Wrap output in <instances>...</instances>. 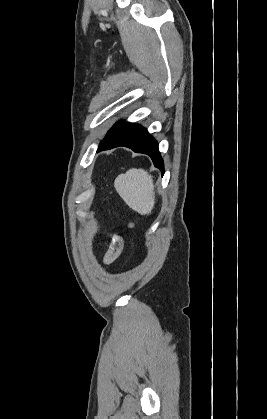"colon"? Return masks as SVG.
<instances>
[{
	"instance_id": "colon-1",
	"label": "colon",
	"mask_w": 267,
	"mask_h": 419,
	"mask_svg": "<svg viewBox=\"0 0 267 419\" xmlns=\"http://www.w3.org/2000/svg\"><path fill=\"white\" fill-rule=\"evenodd\" d=\"M129 225H130V227H133L134 226L132 223H130Z\"/></svg>"
}]
</instances>
